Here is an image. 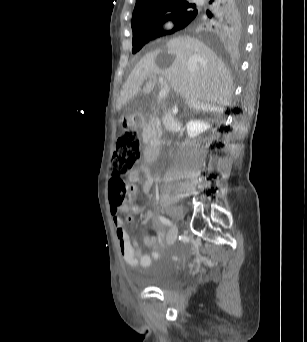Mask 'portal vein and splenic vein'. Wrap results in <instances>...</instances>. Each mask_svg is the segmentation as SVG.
<instances>
[{"mask_svg":"<svg viewBox=\"0 0 307 342\" xmlns=\"http://www.w3.org/2000/svg\"><path fill=\"white\" fill-rule=\"evenodd\" d=\"M157 84L159 85V95L157 96V99L159 101H162L167 93L171 91V88L169 86H163L166 84L165 78L163 76H160L158 78Z\"/></svg>","mask_w":307,"mask_h":342,"instance_id":"18ae733b","label":"portal vein and splenic vein"}]
</instances>
